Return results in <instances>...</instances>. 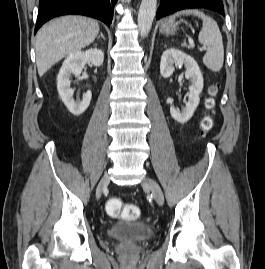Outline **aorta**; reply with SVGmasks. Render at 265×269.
Listing matches in <instances>:
<instances>
[{"label":"aorta","mask_w":265,"mask_h":269,"mask_svg":"<svg viewBox=\"0 0 265 269\" xmlns=\"http://www.w3.org/2000/svg\"><path fill=\"white\" fill-rule=\"evenodd\" d=\"M157 0H142L138 13V29L141 37H146L156 14Z\"/></svg>","instance_id":"aorta-1"}]
</instances>
